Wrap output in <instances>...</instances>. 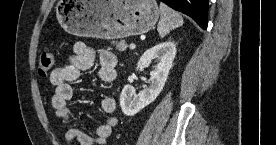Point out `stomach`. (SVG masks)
Segmentation results:
<instances>
[{"instance_id":"0dacf381","label":"stomach","mask_w":276,"mask_h":145,"mask_svg":"<svg viewBox=\"0 0 276 145\" xmlns=\"http://www.w3.org/2000/svg\"><path fill=\"white\" fill-rule=\"evenodd\" d=\"M56 15L72 35L121 39L148 32L160 10L155 0H61Z\"/></svg>"}]
</instances>
